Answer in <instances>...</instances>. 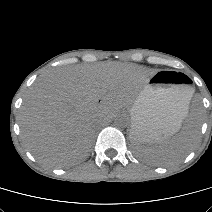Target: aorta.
I'll return each instance as SVG.
<instances>
[{
    "label": "aorta",
    "mask_w": 212,
    "mask_h": 212,
    "mask_svg": "<svg viewBox=\"0 0 212 212\" xmlns=\"http://www.w3.org/2000/svg\"><path fill=\"white\" fill-rule=\"evenodd\" d=\"M114 125L117 128H125L127 126V119L125 117H118L114 121Z\"/></svg>",
    "instance_id": "762f6f07"
}]
</instances>
